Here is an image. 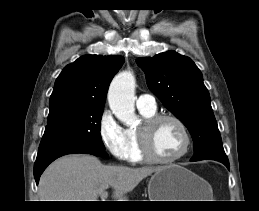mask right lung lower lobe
<instances>
[{"mask_svg":"<svg viewBox=\"0 0 259 211\" xmlns=\"http://www.w3.org/2000/svg\"><path fill=\"white\" fill-rule=\"evenodd\" d=\"M72 153H86L92 154L99 157H107V153L105 149H94V148H87L83 146H76V145H65L59 146L52 149L44 150L38 152L36 162L34 164V177L36 183L38 184L39 178L45 168L55 159L60 156Z\"/></svg>","mask_w":259,"mask_h":211,"instance_id":"right-lung-lower-lobe-1","label":"right lung lower lobe"}]
</instances>
